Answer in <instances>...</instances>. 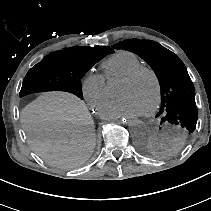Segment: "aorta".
Segmentation results:
<instances>
[{"label": "aorta", "mask_w": 211, "mask_h": 211, "mask_svg": "<svg viewBox=\"0 0 211 211\" xmlns=\"http://www.w3.org/2000/svg\"><path fill=\"white\" fill-rule=\"evenodd\" d=\"M120 84L117 81H110L107 85L109 96H115L120 90ZM129 131L134 137H144L146 134V125L141 120H132L129 123Z\"/></svg>", "instance_id": "762f6f07"}]
</instances>
